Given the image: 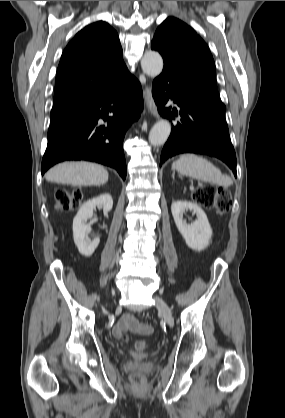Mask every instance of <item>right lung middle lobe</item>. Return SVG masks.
Segmentation results:
<instances>
[{
    "label": "right lung middle lobe",
    "mask_w": 285,
    "mask_h": 418,
    "mask_svg": "<svg viewBox=\"0 0 285 418\" xmlns=\"http://www.w3.org/2000/svg\"><path fill=\"white\" fill-rule=\"evenodd\" d=\"M77 107L78 106H76V107H63V108L52 109L51 110V120H54V119L62 116L63 114H65V113H67V112H69V111H71V110H73V109H75Z\"/></svg>",
    "instance_id": "obj_1"
}]
</instances>
